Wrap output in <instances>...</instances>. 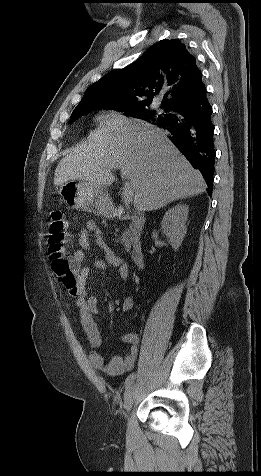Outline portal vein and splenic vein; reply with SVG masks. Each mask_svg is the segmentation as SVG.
Returning <instances> with one entry per match:
<instances>
[{"label": "portal vein and splenic vein", "instance_id": "18ae733b", "mask_svg": "<svg viewBox=\"0 0 261 476\" xmlns=\"http://www.w3.org/2000/svg\"><path fill=\"white\" fill-rule=\"evenodd\" d=\"M133 191L132 187L129 183H126L123 192H122V200L124 201L125 204H129L133 200Z\"/></svg>", "mask_w": 261, "mask_h": 476}]
</instances>
